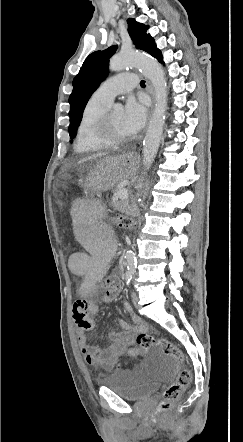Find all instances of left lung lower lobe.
<instances>
[{
  "mask_svg": "<svg viewBox=\"0 0 243 442\" xmlns=\"http://www.w3.org/2000/svg\"><path fill=\"white\" fill-rule=\"evenodd\" d=\"M153 57H155L159 62L163 63V57L161 55V51L155 47L153 52L151 53Z\"/></svg>",
  "mask_w": 243,
  "mask_h": 442,
  "instance_id": "1",
  "label": "left lung lower lobe"
}]
</instances>
